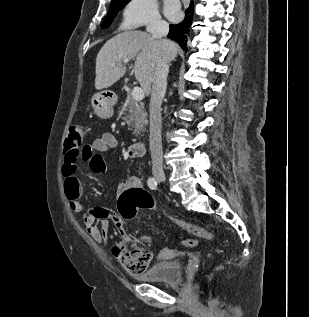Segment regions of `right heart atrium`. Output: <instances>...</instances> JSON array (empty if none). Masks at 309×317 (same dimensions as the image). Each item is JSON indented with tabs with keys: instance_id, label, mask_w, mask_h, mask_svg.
<instances>
[{
	"instance_id": "right-heart-atrium-1",
	"label": "right heart atrium",
	"mask_w": 309,
	"mask_h": 317,
	"mask_svg": "<svg viewBox=\"0 0 309 317\" xmlns=\"http://www.w3.org/2000/svg\"><path fill=\"white\" fill-rule=\"evenodd\" d=\"M161 22L156 0H129L123 9L122 23L127 28L152 27Z\"/></svg>"
}]
</instances>
